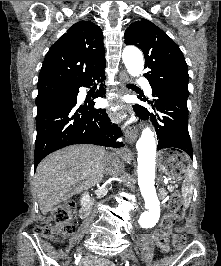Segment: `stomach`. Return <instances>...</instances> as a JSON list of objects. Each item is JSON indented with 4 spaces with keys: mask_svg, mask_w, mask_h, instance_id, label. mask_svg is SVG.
Wrapping results in <instances>:
<instances>
[{
    "mask_svg": "<svg viewBox=\"0 0 221 266\" xmlns=\"http://www.w3.org/2000/svg\"><path fill=\"white\" fill-rule=\"evenodd\" d=\"M160 170L173 180L181 181L188 176L190 165L188 157L175 149H168L159 152L158 155Z\"/></svg>",
    "mask_w": 221,
    "mask_h": 266,
    "instance_id": "obj_1",
    "label": "stomach"
}]
</instances>
